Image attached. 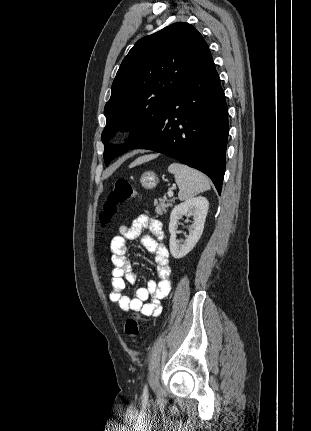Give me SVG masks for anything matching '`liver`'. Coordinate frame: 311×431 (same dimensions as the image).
Masks as SVG:
<instances>
[{
	"label": "liver",
	"instance_id": "6515ba94",
	"mask_svg": "<svg viewBox=\"0 0 311 431\" xmlns=\"http://www.w3.org/2000/svg\"><path fill=\"white\" fill-rule=\"evenodd\" d=\"M143 162H148L147 156H141V158H137V160H134V162L130 164L129 168H134V166H140V164H143Z\"/></svg>",
	"mask_w": 311,
	"mask_h": 431
}]
</instances>
